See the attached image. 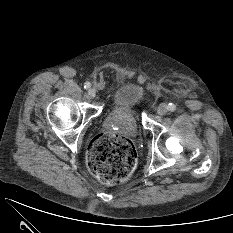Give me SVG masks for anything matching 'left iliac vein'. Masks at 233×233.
Returning <instances> with one entry per match:
<instances>
[{"label":"left iliac vein","mask_w":233,"mask_h":233,"mask_svg":"<svg viewBox=\"0 0 233 233\" xmlns=\"http://www.w3.org/2000/svg\"><path fill=\"white\" fill-rule=\"evenodd\" d=\"M167 112H168V107H167L166 104L162 103V104H160V105L158 106V108H157V113H158V115L163 116V115H165Z\"/></svg>","instance_id":"obj_1"}]
</instances>
